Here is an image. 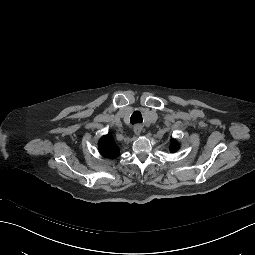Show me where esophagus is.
I'll list each match as a JSON object with an SVG mask.
<instances>
[{
  "label": "esophagus",
  "instance_id": "1",
  "mask_svg": "<svg viewBox=\"0 0 255 255\" xmlns=\"http://www.w3.org/2000/svg\"><path fill=\"white\" fill-rule=\"evenodd\" d=\"M142 131V126L140 124L135 125L134 127V133L139 135Z\"/></svg>",
  "mask_w": 255,
  "mask_h": 255
}]
</instances>
